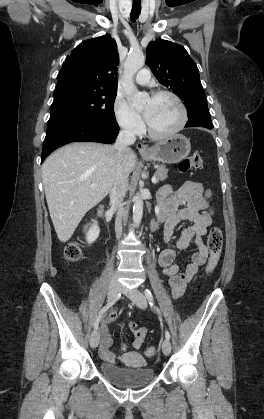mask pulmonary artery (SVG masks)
Listing matches in <instances>:
<instances>
[{"instance_id": "pulmonary-artery-1", "label": "pulmonary artery", "mask_w": 264, "mask_h": 419, "mask_svg": "<svg viewBox=\"0 0 264 419\" xmlns=\"http://www.w3.org/2000/svg\"><path fill=\"white\" fill-rule=\"evenodd\" d=\"M150 80V71L147 68H143L138 71L135 76V81L140 85H145Z\"/></svg>"}]
</instances>
